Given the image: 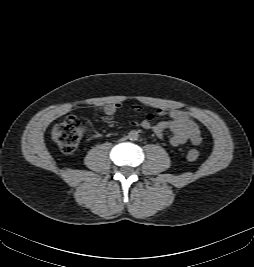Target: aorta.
Returning <instances> with one entry per match:
<instances>
[{
  "instance_id": "1",
  "label": "aorta",
  "mask_w": 254,
  "mask_h": 267,
  "mask_svg": "<svg viewBox=\"0 0 254 267\" xmlns=\"http://www.w3.org/2000/svg\"><path fill=\"white\" fill-rule=\"evenodd\" d=\"M138 138H139V134H138L137 131L132 130V131L129 132V134H128V139H130V140H132V141H135V140H137Z\"/></svg>"
}]
</instances>
